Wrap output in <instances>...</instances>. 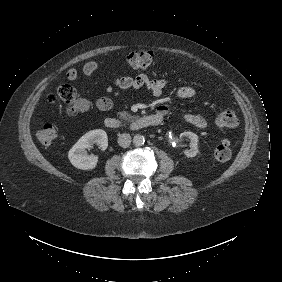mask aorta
Segmentation results:
<instances>
[{"instance_id":"aorta-1","label":"aorta","mask_w":282,"mask_h":282,"mask_svg":"<svg viewBox=\"0 0 282 282\" xmlns=\"http://www.w3.org/2000/svg\"><path fill=\"white\" fill-rule=\"evenodd\" d=\"M132 143L135 147H141L145 143V137L143 135L137 134L133 137Z\"/></svg>"}]
</instances>
